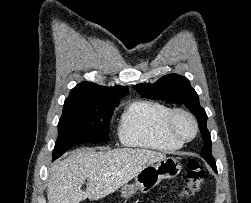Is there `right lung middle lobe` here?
<instances>
[{"instance_id":"dd1d6c3e","label":"right lung middle lobe","mask_w":251,"mask_h":203,"mask_svg":"<svg viewBox=\"0 0 251 203\" xmlns=\"http://www.w3.org/2000/svg\"><path fill=\"white\" fill-rule=\"evenodd\" d=\"M117 104L118 102L64 105L58 123L53 160L74 145L108 141L109 120Z\"/></svg>"}]
</instances>
